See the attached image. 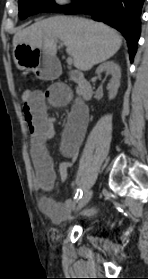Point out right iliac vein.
Wrapping results in <instances>:
<instances>
[{"instance_id": "obj_1", "label": "right iliac vein", "mask_w": 148, "mask_h": 279, "mask_svg": "<svg viewBox=\"0 0 148 279\" xmlns=\"http://www.w3.org/2000/svg\"><path fill=\"white\" fill-rule=\"evenodd\" d=\"M92 196V189L87 190L80 201L78 202V205L75 209V214H77L90 200Z\"/></svg>"}]
</instances>
